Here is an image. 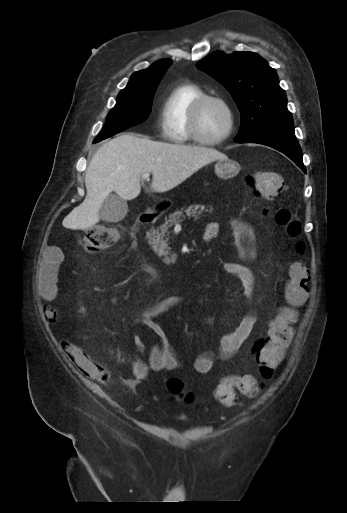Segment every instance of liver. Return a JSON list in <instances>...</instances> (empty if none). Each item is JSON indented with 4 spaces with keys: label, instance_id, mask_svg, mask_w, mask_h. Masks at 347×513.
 I'll list each match as a JSON object with an SVG mask.
<instances>
[{
    "label": "liver",
    "instance_id": "6515ba94",
    "mask_svg": "<svg viewBox=\"0 0 347 513\" xmlns=\"http://www.w3.org/2000/svg\"><path fill=\"white\" fill-rule=\"evenodd\" d=\"M225 159L222 152L205 146L168 144L132 133L117 136L93 156L85 175L86 198L62 225L84 230L97 224L108 195L115 192L123 200L136 198L145 173H152L150 189L161 193L178 186L203 166Z\"/></svg>",
    "mask_w": 347,
    "mask_h": 513
}]
</instances>
